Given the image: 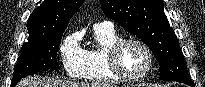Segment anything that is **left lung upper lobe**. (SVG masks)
Masks as SVG:
<instances>
[{"label":"left lung upper lobe","instance_id":"5c2ea615","mask_svg":"<svg viewBox=\"0 0 205 87\" xmlns=\"http://www.w3.org/2000/svg\"><path fill=\"white\" fill-rule=\"evenodd\" d=\"M104 14L138 36L160 64V78L194 86L162 0H100Z\"/></svg>","mask_w":205,"mask_h":87}]
</instances>
